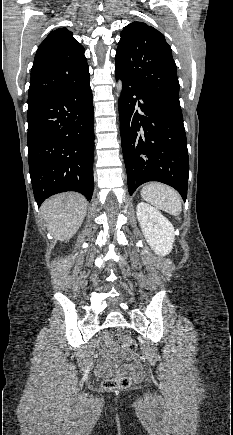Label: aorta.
I'll return each instance as SVG.
<instances>
[{
    "mask_svg": "<svg viewBox=\"0 0 233 435\" xmlns=\"http://www.w3.org/2000/svg\"><path fill=\"white\" fill-rule=\"evenodd\" d=\"M117 91H118V94H120L121 91H122V81H121V80L118 81V84H117Z\"/></svg>",
    "mask_w": 233,
    "mask_h": 435,
    "instance_id": "1",
    "label": "aorta"
}]
</instances>
